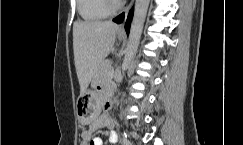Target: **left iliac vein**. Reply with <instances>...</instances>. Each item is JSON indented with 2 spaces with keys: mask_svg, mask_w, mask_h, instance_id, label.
Wrapping results in <instances>:
<instances>
[{
  "mask_svg": "<svg viewBox=\"0 0 243 145\" xmlns=\"http://www.w3.org/2000/svg\"><path fill=\"white\" fill-rule=\"evenodd\" d=\"M128 145H133V144L129 142Z\"/></svg>",
  "mask_w": 243,
  "mask_h": 145,
  "instance_id": "left-iliac-vein-1",
  "label": "left iliac vein"
}]
</instances>
